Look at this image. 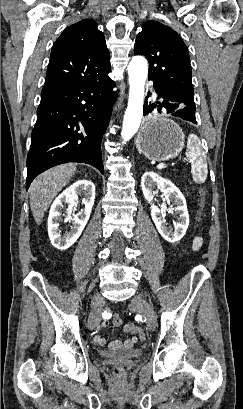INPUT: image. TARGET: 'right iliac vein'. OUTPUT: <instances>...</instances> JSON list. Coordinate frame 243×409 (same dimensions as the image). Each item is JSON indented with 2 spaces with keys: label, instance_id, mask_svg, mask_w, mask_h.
<instances>
[{
  "label": "right iliac vein",
  "instance_id": "right-iliac-vein-1",
  "mask_svg": "<svg viewBox=\"0 0 243 409\" xmlns=\"http://www.w3.org/2000/svg\"><path fill=\"white\" fill-rule=\"evenodd\" d=\"M100 296L96 294L93 298L92 309L88 319V328L94 329L99 322L100 319V307H99Z\"/></svg>",
  "mask_w": 243,
  "mask_h": 409
}]
</instances>
